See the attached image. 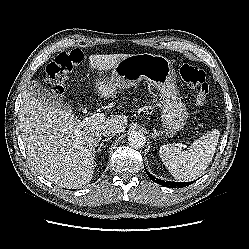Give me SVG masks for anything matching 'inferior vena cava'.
<instances>
[{
  "label": "inferior vena cava",
  "instance_id": "obj_1",
  "mask_svg": "<svg viewBox=\"0 0 249 249\" xmlns=\"http://www.w3.org/2000/svg\"><path fill=\"white\" fill-rule=\"evenodd\" d=\"M120 130L118 127L116 126H107L102 130V135L105 137H112L114 135H116L117 133H119Z\"/></svg>",
  "mask_w": 249,
  "mask_h": 249
}]
</instances>
